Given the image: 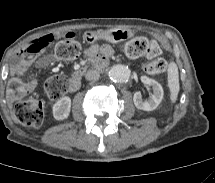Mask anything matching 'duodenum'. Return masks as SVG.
<instances>
[{"label":"duodenum","instance_id":"1","mask_svg":"<svg viewBox=\"0 0 215 183\" xmlns=\"http://www.w3.org/2000/svg\"><path fill=\"white\" fill-rule=\"evenodd\" d=\"M95 64L99 67H106L107 61L106 60H95ZM81 78L80 74L75 75L68 83V90L71 92L77 91L81 86Z\"/></svg>","mask_w":215,"mask_h":183}]
</instances>
